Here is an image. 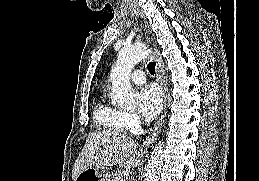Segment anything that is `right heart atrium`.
I'll return each instance as SVG.
<instances>
[{"label":"right heart atrium","instance_id":"d8ad5b80","mask_svg":"<svg viewBox=\"0 0 259 181\" xmlns=\"http://www.w3.org/2000/svg\"><path fill=\"white\" fill-rule=\"evenodd\" d=\"M124 121L126 128L131 131L136 130L139 126V120L133 113H124Z\"/></svg>","mask_w":259,"mask_h":181}]
</instances>
